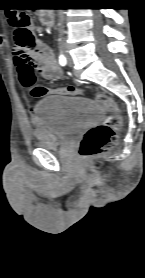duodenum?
Listing matches in <instances>:
<instances>
[{"label": "duodenum", "mask_w": 145, "mask_h": 278, "mask_svg": "<svg viewBox=\"0 0 145 278\" xmlns=\"http://www.w3.org/2000/svg\"><path fill=\"white\" fill-rule=\"evenodd\" d=\"M41 21L47 26H50L52 24L51 17L49 15V13H46V14L42 15L41 16Z\"/></svg>", "instance_id": "410a0bca"}]
</instances>
